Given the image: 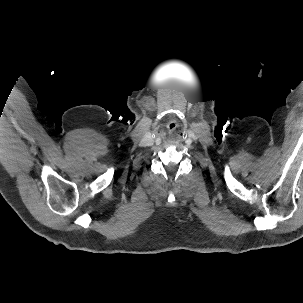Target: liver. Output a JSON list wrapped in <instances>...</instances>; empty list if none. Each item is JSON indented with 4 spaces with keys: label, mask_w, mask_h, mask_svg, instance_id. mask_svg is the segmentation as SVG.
Wrapping results in <instances>:
<instances>
[{
    "label": "liver",
    "mask_w": 303,
    "mask_h": 303,
    "mask_svg": "<svg viewBox=\"0 0 303 303\" xmlns=\"http://www.w3.org/2000/svg\"><path fill=\"white\" fill-rule=\"evenodd\" d=\"M2 133V131H0V134ZM2 144H0V153L2 152L3 148H2Z\"/></svg>",
    "instance_id": "obj_1"
}]
</instances>
